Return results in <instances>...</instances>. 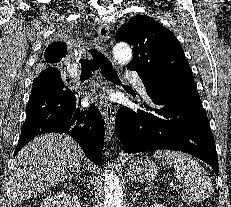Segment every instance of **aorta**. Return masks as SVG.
Returning <instances> with one entry per match:
<instances>
[{
    "mask_svg": "<svg viewBox=\"0 0 231 207\" xmlns=\"http://www.w3.org/2000/svg\"><path fill=\"white\" fill-rule=\"evenodd\" d=\"M113 57L119 63H129L132 59V50L126 43H117L113 48ZM103 185V207H124L122 183L113 171L105 173Z\"/></svg>",
    "mask_w": 231,
    "mask_h": 207,
    "instance_id": "762f6f07",
    "label": "aorta"
}]
</instances>
